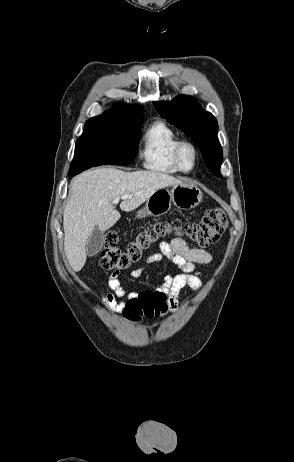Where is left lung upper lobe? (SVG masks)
<instances>
[{
    "instance_id": "5c2ea615",
    "label": "left lung upper lobe",
    "mask_w": 294,
    "mask_h": 462,
    "mask_svg": "<svg viewBox=\"0 0 294 462\" xmlns=\"http://www.w3.org/2000/svg\"><path fill=\"white\" fill-rule=\"evenodd\" d=\"M158 113L166 120L184 130L202 152L209 170L220 174L222 148L217 137L218 124L214 116L204 111L196 99L179 95L170 102H154Z\"/></svg>"
}]
</instances>
